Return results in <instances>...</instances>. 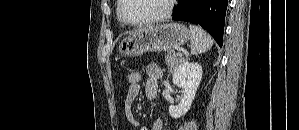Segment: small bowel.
<instances>
[{"mask_svg": "<svg viewBox=\"0 0 299 130\" xmlns=\"http://www.w3.org/2000/svg\"><path fill=\"white\" fill-rule=\"evenodd\" d=\"M145 74L147 80L145 83V92L149 98L156 96L158 89V80L160 79L162 72L161 69L156 64H149L145 69ZM140 93V85L136 87H131L128 89L124 100V113L127 120L134 126H138L139 122L137 121L134 112L133 105ZM151 130H164V125L161 119H154L151 124Z\"/></svg>", "mask_w": 299, "mask_h": 130, "instance_id": "c3829d8e", "label": "small bowel"}]
</instances>
